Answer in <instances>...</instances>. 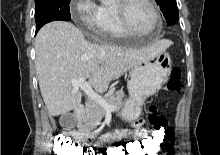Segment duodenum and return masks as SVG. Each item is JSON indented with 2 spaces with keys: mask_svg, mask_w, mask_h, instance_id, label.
<instances>
[{
  "mask_svg": "<svg viewBox=\"0 0 220 155\" xmlns=\"http://www.w3.org/2000/svg\"><path fill=\"white\" fill-rule=\"evenodd\" d=\"M85 113V107L83 105L77 106L73 111V116L77 119H80ZM78 139L79 137L76 136Z\"/></svg>",
  "mask_w": 220,
  "mask_h": 155,
  "instance_id": "duodenum-1",
  "label": "duodenum"
}]
</instances>
